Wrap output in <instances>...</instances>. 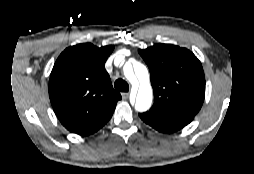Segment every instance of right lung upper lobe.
<instances>
[{
	"mask_svg": "<svg viewBox=\"0 0 254 174\" xmlns=\"http://www.w3.org/2000/svg\"><path fill=\"white\" fill-rule=\"evenodd\" d=\"M114 46L90 43L65 49L56 60L49 80V97L62 125L78 132L114 112L119 92L113 89L105 62Z\"/></svg>",
	"mask_w": 254,
	"mask_h": 174,
	"instance_id": "obj_1",
	"label": "right lung upper lobe"
}]
</instances>
